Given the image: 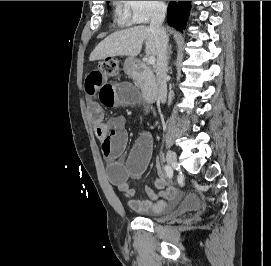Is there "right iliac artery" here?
<instances>
[{
    "label": "right iliac artery",
    "instance_id": "obj_1",
    "mask_svg": "<svg viewBox=\"0 0 271 266\" xmlns=\"http://www.w3.org/2000/svg\"><path fill=\"white\" fill-rule=\"evenodd\" d=\"M164 170L169 178L173 176V170L169 165H165Z\"/></svg>",
    "mask_w": 271,
    "mask_h": 266
}]
</instances>
